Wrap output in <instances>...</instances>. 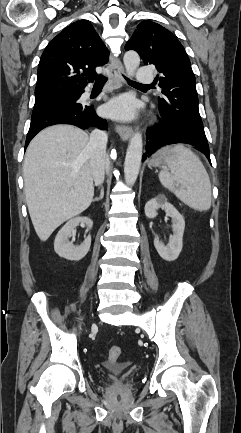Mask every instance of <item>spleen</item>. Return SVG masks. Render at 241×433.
<instances>
[{"mask_svg": "<svg viewBox=\"0 0 241 433\" xmlns=\"http://www.w3.org/2000/svg\"><path fill=\"white\" fill-rule=\"evenodd\" d=\"M171 157L166 164L171 170L159 173L161 184L173 192L184 204L198 211H207L211 207V183L208 173L199 159L190 149L182 145L170 148ZM181 188H176L177 185Z\"/></svg>", "mask_w": 241, "mask_h": 433, "instance_id": "3e777b00", "label": "spleen"}]
</instances>
